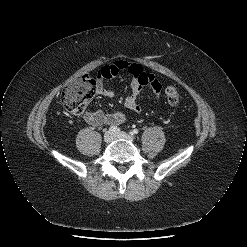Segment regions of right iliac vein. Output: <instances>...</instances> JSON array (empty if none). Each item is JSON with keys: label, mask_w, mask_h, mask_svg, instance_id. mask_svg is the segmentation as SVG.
I'll use <instances>...</instances> for the list:
<instances>
[{"label": "right iliac vein", "mask_w": 247, "mask_h": 247, "mask_svg": "<svg viewBox=\"0 0 247 247\" xmlns=\"http://www.w3.org/2000/svg\"><path fill=\"white\" fill-rule=\"evenodd\" d=\"M113 139H114V133H113V132L107 131V132L104 134V141H105L106 143H110Z\"/></svg>", "instance_id": "right-iliac-vein-1"}]
</instances>
